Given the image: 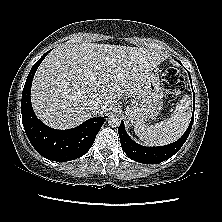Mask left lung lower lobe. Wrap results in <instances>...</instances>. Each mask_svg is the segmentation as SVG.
Here are the masks:
<instances>
[{
  "label": "left lung lower lobe",
  "mask_w": 222,
  "mask_h": 222,
  "mask_svg": "<svg viewBox=\"0 0 222 222\" xmlns=\"http://www.w3.org/2000/svg\"><path fill=\"white\" fill-rule=\"evenodd\" d=\"M193 120H194V112L192 114L190 125L188 129L185 131V133L182 135V137L172 144L159 147H145L134 142L126 133L124 128V122L122 121L118 128L122 149L129 158L140 163L157 164L163 162L172 157L185 143L191 131Z\"/></svg>",
  "instance_id": "left-lung-lower-lobe-1"
}]
</instances>
